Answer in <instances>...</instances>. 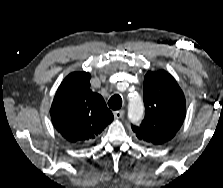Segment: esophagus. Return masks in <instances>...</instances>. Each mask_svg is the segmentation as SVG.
<instances>
[{
  "instance_id": "obj_1",
  "label": "esophagus",
  "mask_w": 223,
  "mask_h": 188,
  "mask_svg": "<svg viewBox=\"0 0 223 188\" xmlns=\"http://www.w3.org/2000/svg\"><path fill=\"white\" fill-rule=\"evenodd\" d=\"M115 119H120L124 116L125 111L124 110H117L113 112Z\"/></svg>"
}]
</instances>
